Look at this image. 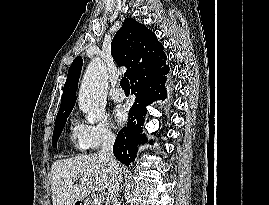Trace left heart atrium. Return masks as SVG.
Instances as JSON below:
<instances>
[{"mask_svg": "<svg viewBox=\"0 0 269 205\" xmlns=\"http://www.w3.org/2000/svg\"><path fill=\"white\" fill-rule=\"evenodd\" d=\"M126 117H127L126 112L121 106H118L115 108L114 118L117 124L124 123L126 120Z\"/></svg>", "mask_w": 269, "mask_h": 205, "instance_id": "1", "label": "left heart atrium"}]
</instances>
